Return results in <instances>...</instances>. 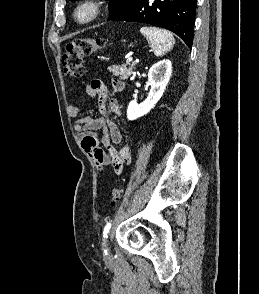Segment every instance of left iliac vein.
I'll use <instances>...</instances> for the list:
<instances>
[{"label": "left iliac vein", "mask_w": 259, "mask_h": 294, "mask_svg": "<svg viewBox=\"0 0 259 294\" xmlns=\"http://www.w3.org/2000/svg\"><path fill=\"white\" fill-rule=\"evenodd\" d=\"M105 250L107 251V253L110 252L109 240H107L105 243Z\"/></svg>", "instance_id": "1"}]
</instances>
